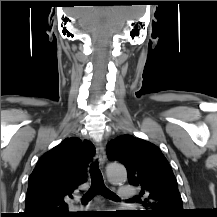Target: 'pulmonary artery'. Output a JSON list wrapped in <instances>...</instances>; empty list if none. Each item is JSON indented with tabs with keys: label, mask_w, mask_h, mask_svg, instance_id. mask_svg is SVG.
<instances>
[{
	"label": "pulmonary artery",
	"mask_w": 217,
	"mask_h": 217,
	"mask_svg": "<svg viewBox=\"0 0 217 217\" xmlns=\"http://www.w3.org/2000/svg\"><path fill=\"white\" fill-rule=\"evenodd\" d=\"M135 193V188L132 186H122L118 189V196L122 199H130Z\"/></svg>",
	"instance_id": "obj_1"
}]
</instances>
